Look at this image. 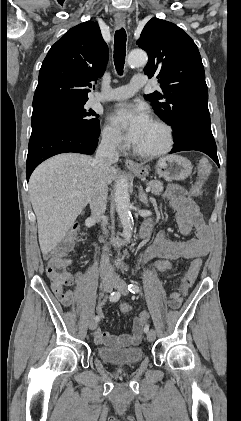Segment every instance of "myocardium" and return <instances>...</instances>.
<instances>
[{
  "label": "myocardium",
  "instance_id": "myocardium-1",
  "mask_svg": "<svg viewBox=\"0 0 241 421\" xmlns=\"http://www.w3.org/2000/svg\"><path fill=\"white\" fill-rule=\"evenodd\" d=\"M151 122L161 127L165 133V143L164 145L157 150L153 151H145L141 150L135 145L133 146V151L135 154L144 157V158H157L163 156L171 151L174 145V132L172 127L162 119L159 118H152Z\"/></svg>",
  "mask_w": 241,
  "mask_h": 421
}]
</instances>
